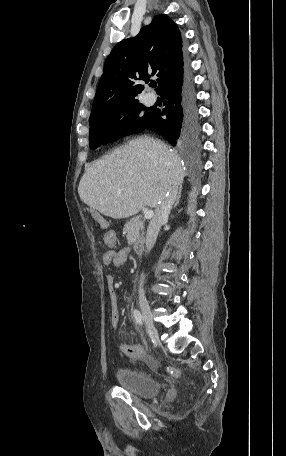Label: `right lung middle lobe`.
Wrapping results in <instances>:
<instances>
[{
    "label": "right lung middle lobe",
    "instance_id": "1",
    "mask_svg": "<svg viewBox=\"0 0 286 456\" xmlns=\"http://www.w3.org/2000/svg\"><path fill=\"white\" fill-rule=\"evenodd\" d=\"M152 114L153 111H149L139 102L105 111L89 122L90 148L96 149L122 136L143 131L148 127ZM190 128L195 130L194 135L179 145L192 143L196 139L199 133L198 126Z\"/></svg>",
    "mask_w": 286,
    "mask_h": 456
}]
</instances>
